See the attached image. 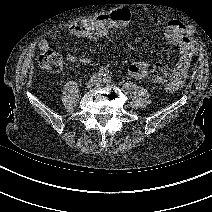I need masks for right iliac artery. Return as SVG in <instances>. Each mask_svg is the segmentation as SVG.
<instances>
[{"instance_id":"1","label":"right iliac artery","mask_w":212,"mask_h":212,"mask_svg":"<svg viewBox=\"0 0 212 212\" xmlns=\"http://www.w3.org/2000/svg\"><path fill=\"white\" fill-rule=\"evenodd\" d=\"M101 74H102L103 76H105L106 71L103 70V71L101 72Z\"/></svg>"}]
</instances>
